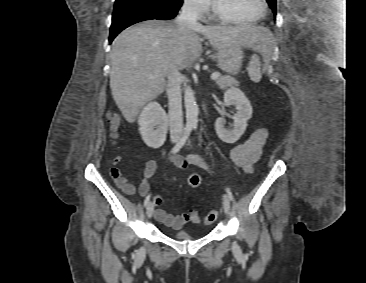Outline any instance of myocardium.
Listing matches in <instances>:
<instances>
[{
  "mask_svg": "<svg viewBox=\"0 0 366 283\" xmlns=\"http://www.w3.org/2000/svg\"><path fill=\"white\" fill-rule=\"evenodd\" d=\"M260 2H261V6H262L261 13L257 17H255L251 20H239L237 18H234V17L226 14L224 11H222L220 9L216 0H212V11H213L214 17L223 22L231 23V24H235V25H250V24H254V23L262 20L267 14V9H268L267 1L260 0Z\"/></svg>",
  "mask_w": 366,
  "mask_h": 283,
  "instance_id": "1",
  "label": "myocardium"
}]
</instances>
